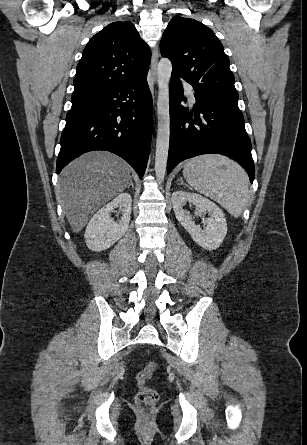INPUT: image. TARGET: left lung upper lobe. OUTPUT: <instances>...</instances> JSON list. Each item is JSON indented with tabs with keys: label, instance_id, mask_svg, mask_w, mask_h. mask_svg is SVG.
<instances>
[{
	"label": "left lung upper lobe",
	"instance_id": "1",
	"mask_svg": "<svg viewBox=\"0 0 307 445\" xmlns=\"http://www.w3.org/2000/svg\"><path fill=\"white\" fill-rule=\"evenodd\" d=\"M160 51L172 62V75L190 83L196 94L237 104L229 59L207 26L194 19L173 17L163 33Z\"/></svg>",
	"mask_w": 307,
	"mask_h": 445
}]
</instances>
